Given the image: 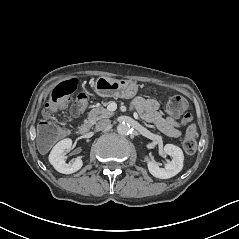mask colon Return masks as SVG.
<instances>
[{"label": "colon", "mask_w": 239, "mask_h": 239, "mask_svg": "<svg viewBox=\"0 0 239 239\" xmlns=\"http://www.w3.org/2000/svg\"><path fill=\"white\" fill-rule=\"evenodd\" d=\"M78 89L77 79L63 81L56 85L47 97V111H55L59 106H62ZM88 102V89L83 88L77 96L75 103L71 108L73 115L80 114ZM168 112L173 116L182 115V123L186 126V137L183 142V148L186 153L193 154L197 149L196 127L193 122V117L187 113V102L180 95H173L169 98L167 104ZM63 128L50 117H47L40 125V136L43 143L48 144L58 140L63 136Z\"/></svg>", "instance_id": "1"}]
</instances>
